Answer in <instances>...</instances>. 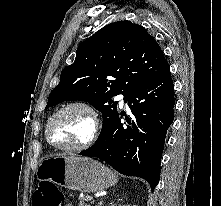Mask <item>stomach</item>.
Segmentation results:
<instances>
[{
    "label": "stomach",
    "mask_w": 221,
    "mask_h": 206,
    "mask_svg": "<svg viewBox=\"0 0 221 206\" xmlns=\"http://www.w3.org/2000/svg\"><path fill=\"white\" fill-rule=\"evenodd\" d=\"M37 177L81 192H96L118 182L116 174L96 160L63 155L44 158Z\"/></svg>",
    "instance_id": "1"
}]
</instances>
